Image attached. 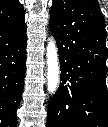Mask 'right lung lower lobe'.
Returning <instances> with one entry per match:
<instances>
[{
    "mask_svg": "<svg viewBox=\"0 0 108 127\" xmlns=\"http://www.w3.org/2000/svg\"><path fill=\"white\" fill-rule=\"evenodd\" d=\"M26 23L0 27V127H16L25 77Z\"/></svg>",
    "mask_w": 108,
    "mask_h": 127,
    "instance_id": "obj_1",
    "label": "right lung lower lobe"
}]
</instances>
